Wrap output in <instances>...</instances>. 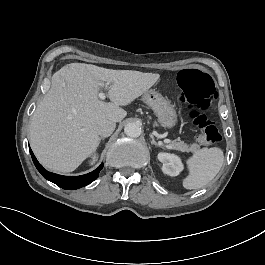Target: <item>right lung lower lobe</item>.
<instances>
[{
    "instance_id": "1",
    "label": "right lung lower lobe",
    "mask_w": 265,
    "mask_h": 265,
    "mask_svg": "<svg viewBox=\"0 0 265 265\" xmlns=\"http://www.w3.org/2000/svg\"><path fill=\"white\" fill-rule=\"evenodd\" d=\"M30 153L32 156V160L36 166V168L38 169V171L49 181L55 183L56 185H58L59 187L63 188V189H78L81 188L89 183H91L92 181H94L98 175L100 170L103 168V164H101L96 170L85 174V175H81V176H61V175H57L54 173H50L48 171H46L41 164H39V162L37 161V159L35 158L33 152L31 149Z\"/></svg>"
}]
</instances>
